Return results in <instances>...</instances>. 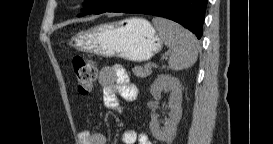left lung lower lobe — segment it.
I'll use <instances>...</instances> for the list:
<instances>
[{
	"label": "left lung lower lobe",
	"mask_w": 273,
	"mask_h": 144,
	"mask_svg": "<svg viewBox=\"0 0 273 144\" xmlns=\"http://www.w3.org/2000/svg\"><path fill=\"white\" fill-rule=\"evenodd\" d=\"M206 6L207 0H106L94 14L124 12L161 16L178 22L200 39Z\"/></svg>",
	"instance_id": "left-lung-lower-lobe-1"
}]
</instances>
